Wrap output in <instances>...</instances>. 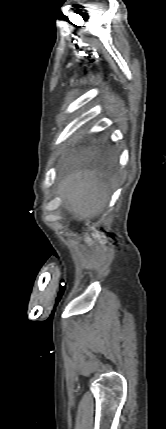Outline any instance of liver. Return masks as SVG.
Segmentation results:
<instances>
[{
  "mask_svg": "<svg viewBox=\"0 0 166 429\" xmlns=\"http://www.w3.org/2000/svg\"><path fill=\"white\" fill-rule=\"evenodd\" d=\"M112 181L96 170H77L59 184L58 194L76 219L93 218L109 200Z\"/></svg>",
  "mask_w": 166,
  "mask_h": 429,
  "instance_id": "liver-1",
  "label": "liver"
}]
</instances>
